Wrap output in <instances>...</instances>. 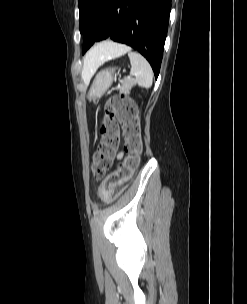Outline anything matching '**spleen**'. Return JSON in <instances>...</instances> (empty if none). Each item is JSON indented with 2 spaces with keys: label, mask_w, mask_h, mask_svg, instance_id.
Wrapping results in <instances>:
<instances>
[{
  "label": "spleen",
  "mask_w": 247,
  "mask_h": 304,
  "mask_svg": "<svg viewBox=\"0 0 247 304\" xmlns=\"http://www.w3.org/2000/svg\"><path fill=\"white\" fill-rule=\"evenodd\" d=\"M128 51L129 49L121 52L118 56ZM128 56L131 63V72L135 75L136 83L143 88H150L153 81V71L148 61L137 52L129 51Z\"/></svg>",
  "instance_id": "3e777b00"
}]
</instances>
